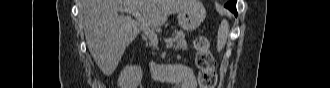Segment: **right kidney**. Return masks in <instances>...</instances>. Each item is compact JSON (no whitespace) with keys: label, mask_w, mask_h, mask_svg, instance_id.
<instances>
[{"label":"right kidney","mask_w":330,"mask_h":88,"mask_svg":"<svg viewBox=\"0 0 330 88\" xmlns=\"http://www.w3.org/2000/svg\"><path fill=\"white\" fill-rule=\"evenodd\" d=\"M142 69L138 65H127L118 78L119 88H137L142 79Z\"/></svg>","instance_id":"ca27d5eb"}]
</instances>
